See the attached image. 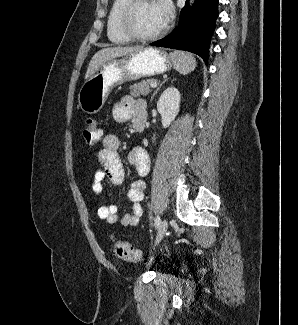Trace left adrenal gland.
<instances>
[{
    "label": "left adrenal gland",
    "instance_id": "left-adrenal-gland-1",
    "mask_svg": "<svg viewBox=\"0 0 298 325\" xmlns=\"http://www.w3.org/2000/svg\"><path fill=\"white\" fill-rule=\"evenodd\" d=\"M164 82H166V80H163V82H161V84H159V86H157V88H156V90H154L150 100H153L155 94H157L158 90H160V88H161L162 84H164Z\"/></svg>",
    "mask_w": 298,
    "mask_h": 325
}]
</instances>
